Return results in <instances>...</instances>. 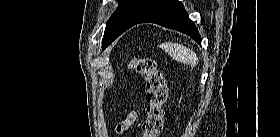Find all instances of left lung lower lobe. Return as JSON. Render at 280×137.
I'll return each instance as SVG.
<instances>
[{
	"label": "left lung lower lobe",
	"mask_w": 280,
	"mask_h": 137,
	"mask_svg": "<svg viewBox=\"0 0 280 137\" xmlns=\"http://www.w3.org/2000/svg\"><path fill=\"white\" fill-rule=\"evenodd\" d=\"M144 22L155 23L180 31L189 35L194 41L201 44V37L195 24L189 19L188 13L185 11L182 2L178 0H161L157 6L135 24Z\"/></svg>",
	"instance_id": "obj_1"
}]
</instances>
